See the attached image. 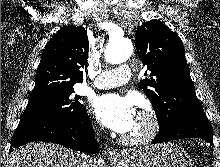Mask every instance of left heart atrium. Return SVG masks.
<instances>
[{
    "label": "left heart atrium",
    "instance_id": "1",
    "mask_svg": "<svg viewBox=\"0 0 220 167\" xmlns=\"http://www.w3.org/2000/svg\"><path fill=\"white\" fill-rule=\"evenodd\" d=\"M96 118L109 129L118 133L128 132L136 118L135 101L115 93L99 95L92 101Z\"/></svg>",
    "mask_w": 220,
    "mask_h": 167
}]
</instances>
